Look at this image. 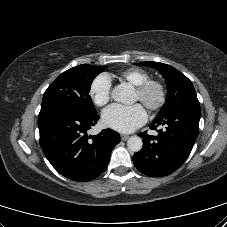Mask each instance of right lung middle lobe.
<instances>
[{"label": "right lung middle lobe", "instance_id": "obj_1", "mask_svg": "<svg viewBox=\"0 0 227 227\" xmlns=\"http://www.w3.org/2000/svg\"><path fill=\"white\" fill-rule=\"evenodd\" d=\"M106 67L79 65L59 75L44 93L41 110L66 107L86 115L97 114L89 95L94 78Z\"/></svg>", "mask_w": 227, "mask_h": 227}]
</instances>
